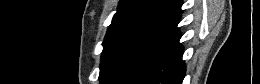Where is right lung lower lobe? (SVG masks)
Returning <instances> with one entry per match:
<instances>
[{
    "mask_svg": "<svg viewBox=\"0 0 260 84\" xmlns=\"http://www.w3.org/2000/svg\"><path fill=\"white\" fill-rule=\"evenodd\" d=\"M181 32L149 63L130 84L166 83L182 84L185 63L182 60L183 47L179 44Z\"/></svg>",
    "mask_w": 260,
    "mask_h": 84,
    "instance_id": "obj_1",
    "label": "right lung lower lobe"
}]
</instances>
